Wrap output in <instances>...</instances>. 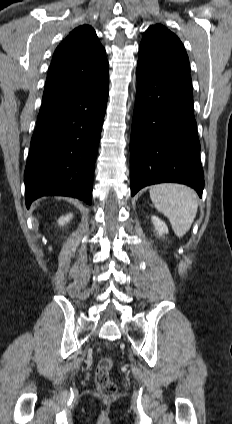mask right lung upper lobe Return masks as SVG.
Wrapping results in <instances>:
<instances>
[{
  "instance_id": "1",
  "label": "right lung upper lobe",
  "mask_w": 232,
  "mask_h": 424,
  "mask_svg": "<svg viewBox=\"0 0 232 424\" xmlns=\"http://www.w3.org/2000/svg\"><path fill=\"white\" fill-rule=\"evenodd\" d=\"M108 66L94 29L79 26L56 48L42 99L101 86L108 82Z\"/></svg>"
}]
</instances>
